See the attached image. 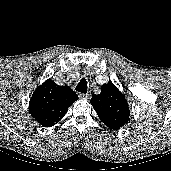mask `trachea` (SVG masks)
I'll use <instances>...</instances> for the list:
<instances>
[{"mask_svg":"<svg viewBox=\"0 0 171 171\" xmlns=\"http://www.w3.org/2000/svg\"><path fill=\"white\" fill-rule=\"evenodd\" d=\"M87 88H88L87 81L85 78H82L80 82L77 84L75 90L85 94L87 93Z\"/></svg>","mask_w":171,"mask_h":171,"instance_id":"trachea-1","label":"trachea"}]
</instances>
